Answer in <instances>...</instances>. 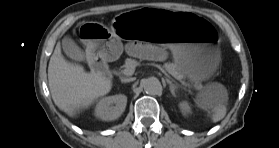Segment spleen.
I'll return each mask as SVG.
<instances>
[{
  "mask_svg": "<svg viewBox=\"0 0 279 148\" xmlns=\"http://www.w3.org/2000/svg\"><path fill=\"white\" fill-rule=\"evenodd\" d=\"M216 87H217L216 85L209 86L205 92L201 93L200 97L204 98L205 96L211 94L212 89L216 88ZM226 111H227V108L224 104H219L218 106H216L213 110V113L211 114L212 121L218 122V121L222 120L226 115Z\"/></svg>",
  "mask_w": 279,
  "mask_h": 148,
  "instance_id": "obj_1",
  "label": "spleen"
}]
</instances>
